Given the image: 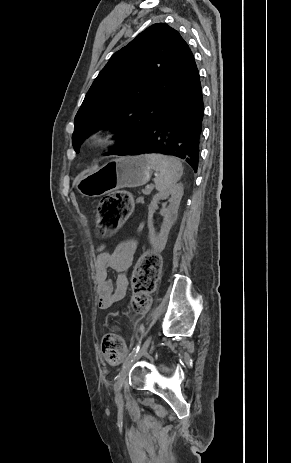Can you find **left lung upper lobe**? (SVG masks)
Instances as JSON below:
<instances>
[{"label":"left lung upper lobe","mask_w":291,"mask_h":463,"mask_svg":"<svg viewBox=\"0 0 291 463\" xmlns=\"http://www.w3.org/2000/svg\"><path fill=\"white\" fill-rule=\"evenodd\" d=\"M197 72L178 31L164 23L148 27L112 55L91 85L74 120L75 151L92 131L107 127L123 137L108 155L129 151Z\"/></svg>","instance_id":"1"}]
</instances>
